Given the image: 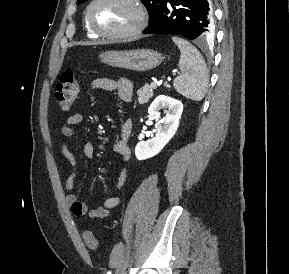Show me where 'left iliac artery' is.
Wrapping results in <instances>:
<instances>
[{"instance_id":"44dca946","label":"left iliac artery","mask_w":289,"mask_h":274,"mask_svg":"<svg viewBox=\"0 0 289 274\" xmlns=\"http://www.w3.org/2000/svg\"><path fill=\"white\" fill-rule=\"evenodd\" d=\"M107 274H112L111 271H108Z\"/></svg>"}]
</instances>
